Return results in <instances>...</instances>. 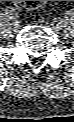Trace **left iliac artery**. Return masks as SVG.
I'll use <instances>...</instances> for the list:
<instances>
[{
    "mask_svg": "<svg viewBox=\"0 0 74 122\" xmlns=\"http://www.w3.org/2000/svg\"><path fill=\"white\" fill-rule=\"evenodd\" d=\"M61 21H57V26L61 27Z\"/></svg>",
    "mask_w": 74,
    "mask_h": 122,
    "instance_id": "1",
    "label": "left iliac artery"
}]
</instances>
